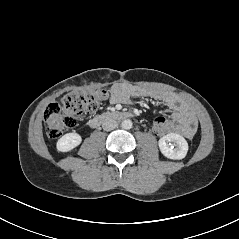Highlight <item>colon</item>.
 I'll use <instances>...</instances> for the list:
<instances>
[{
	"instance_id": "5ec220e1",
	"label": "colon",
	"mask_w": 239,
	"mask_h": 239,
	"mask_svg": "<svg viewBox=\"0 0 239 239\" xmlns=\"http://www.w3.org/2000/svg\"><path fill=\"white\" fill-rule=\"evenodd\" d=\"M107 97V90L86 89L70 92L59 103L49 104L43 114L47 135L50 138L61 136L82 117L95 113ZM171 130L172 123L167 117L157 116L152 120L151 131L157 138H164Z\"/></svg>"
}]
</instances>
